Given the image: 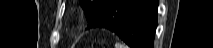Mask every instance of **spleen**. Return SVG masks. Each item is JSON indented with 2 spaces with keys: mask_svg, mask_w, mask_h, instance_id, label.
<instances>
[{
  "mask_svg": "<svg viewBox=\"0 0 213 48\" xmlns=\"http://www.w3.org/2000/svg\"><path fill=\"white\" fill-rule=\"evenodd\" d=\"M115 48H128L125 44L120 43V42H116L115 43Z\"/></svg>",
  "mask_w": 213,
  "mask_h": 48,
  "instance_id": "3e777b00",
  "label": "spleen"
}]
</instances>
